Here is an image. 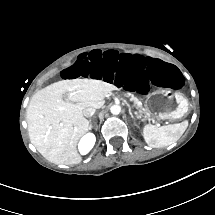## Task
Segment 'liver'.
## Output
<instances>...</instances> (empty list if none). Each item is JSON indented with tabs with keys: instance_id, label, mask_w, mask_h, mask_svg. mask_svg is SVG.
<instances>
[{
	"instance_id": "1",
	"label": "liver",
	"mask_w": 215,
	"mask_h": 215,
	"mask_svg": "<svg viewBox=\"0 0 215 215\" xmlns=\"http://www.w3.org/2000/svg\"><path fill=\"white\" fill-rule=\"evenodd\" d=\"M113 90L117 88L112 84L87 78L62 80L39 90L27 108L31 143L55 164H79L77 143L89 129L83 109L102 108Z\"/></svg>"
}]
</instances>
